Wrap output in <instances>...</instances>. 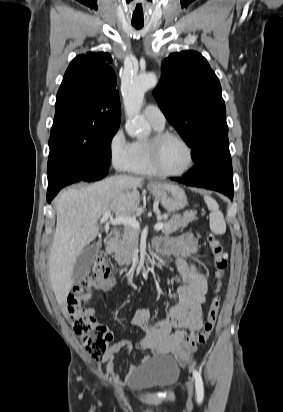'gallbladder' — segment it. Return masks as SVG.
I'll return each mask as SVG.
<instances>
[{"label": "gallbladder", "mask_w": 283, "mask_h": 412, "mask_svg": "<svg viewBox=\"0 0 283 412\" xmlns=\"http://www.w3.org/2000/svg\"><path fill=\"white\" fill-rule=\"evenodd\" d=\"M99 250V245L93 244L77 258L73 268V280L80 283L92 267Z\"/></svg>", "instance_id": "bac80fb5"}]
</instances>
